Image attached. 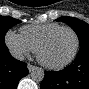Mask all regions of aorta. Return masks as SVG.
<instances>
[{
    "instance_id": "obj_1",
    "label": "aorta",
    "mask_w": 89,
    "mask_h": 89,
    "mask_svg": "<svg viewBox=\"0 0 89 89\" xmlns=\"http://www.w3.org/2000/svg\"><path fill=\"white\" fill-rule=\"evenodd\" d=\"M44 70L40 67H32L30 70V77L35 82H41L44 79Z\"/></svg>"
}]
</instances>
